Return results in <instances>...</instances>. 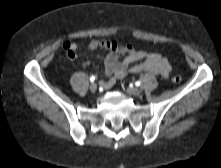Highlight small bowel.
<instances>
[{"label":"small bowel","instance_id":"small-bowel-1","mask_svg":"<svg viewBox=\"0 0 221 168\" xmlns=\"http://www.w3.org/2000/svg\"><path fill=\"white\" fill-rule=\"evenodd\" d=\"M63 48L66 51L67 59L76 58V51L79 48L76 42H65ZM98 48L108 51L103 58L105 80L101 82L105 88L111 87L116 80L122 79L128 74L149 72L164 78L170 75V62L161 54L136 50L131 45H121L117 41L93 40L89 44L91 51ZM88 64V61L84 62V65Z\"/></svg>","mask_w":221,"mask_h":168}]
</instances>
